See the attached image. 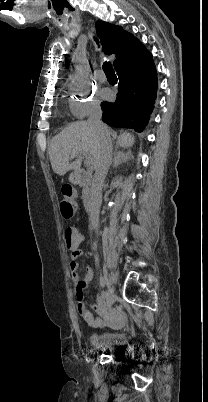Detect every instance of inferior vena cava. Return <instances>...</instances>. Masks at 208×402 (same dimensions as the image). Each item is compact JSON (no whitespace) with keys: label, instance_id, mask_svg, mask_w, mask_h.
I'll return each instance as SVG.
<instances>
[{"label":"inferior vena cava","instance_id":"inferior-vena-cava-1","mask_svg":"<svg viewBox=\"0 0 208 402\" xmlns=\"http://www.w3.org/2000/svg\"><path fill=\"white\" fill-rule=\"evenodd\" d=\"M102 110L100 104H95L91 110V114L87 120L89 126H95L99 128L105 134H108L107 128L101 122ZM112 160V142L110 136L103 138L102 146L99 150L97 162L95 164L96 170L92 182V188L90 192V204L87 210L89 214V222L91 230H97L99 226V214L100 206L102 202V186L107 176L109 166Z\"/></svg>","mask_w":208,"mask_h":402}]
</instances>
